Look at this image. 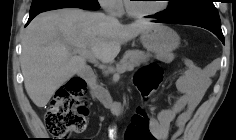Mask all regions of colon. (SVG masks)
Segmentation results:
<instances>
[{
    "label": "colon",
    "instance_id": "colon-1",
    "mask_svg": "<svg viewBox=\"0 0 236 140\" xmlns=\"http://www.w3.org/2000/svg\"><path fill=\"white\" fill-rule=\"evenodd\" d=\"M162 79V70L156 64L141 68L135 79L142 97V104L132 114L125 131V140H154L150 130V117L146 105L157 92ZM86 83L79 77H72L62 85L51 99L45 114L48 131L64 139L72 132H81L86 127L88 109L84 101Z\"/></svg>",
    "mask_w": 236,
    "mask_h": 140
}]
</instances>
